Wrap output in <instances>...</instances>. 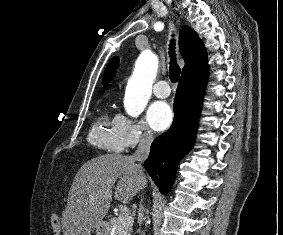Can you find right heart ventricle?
<instances>
[{
    "label": "right heart ventricle",
    "mask_w": 283,
    "mask_h": 235,
    "mask_svg": "<svg viewBox=\"0 0 283 235\" xmlns=\"http://www.w3.org/2000/svg\"><path fill=\"white\" fill-rule=\"evenodd\" d=\"M88 141L95 147L110 153H120L125 148L118 116L111 110L102 113L90 129Z\"/></svg>",
    "instance_id": "1"
}]
</instances>
